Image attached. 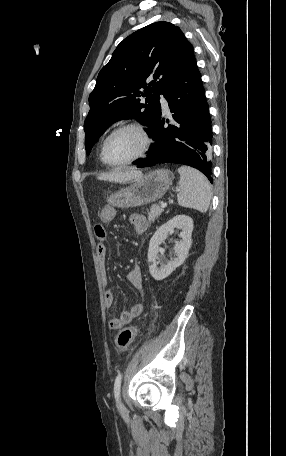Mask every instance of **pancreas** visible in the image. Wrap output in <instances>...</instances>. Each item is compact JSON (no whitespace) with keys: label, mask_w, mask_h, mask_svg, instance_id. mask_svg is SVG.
Returning a JSON list of instances; mask_svg holds the SVG:
<instances>
[{"label":"pancreas","mask_w":286,"mask_h":456,"mask_svg":"<svg viewBox=\"0 0 286 456\" xmlns=\"http://www.w3.org/2000/svg\"><path fill=\"white\" fill-rule=\"evenodd\" d=\"M163 212V208L160 207L159 205L157 204H154L150 207V211L148 212V219L149 221H155V219H157L161 213Z\"/></svg>","instance_id":"pancreas-1"}]
</instances>
